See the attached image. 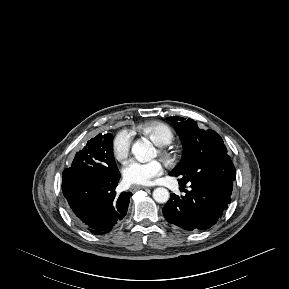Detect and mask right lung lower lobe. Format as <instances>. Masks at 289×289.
<instances>
[{
  "label": "right lung lower lobe",
  "instance_id": "obj_1",
  "mask_svg": "<svg viewBox=\"0 0 289 289\" xmlns=\"http://www.w3.org/2000/svg\"><path fill=\"white\" fill-rule=\"evenodd\" d=\"M118 168L104 176L63 172L62 192L74 220L93 234H106L126 215L132 193L116 194Z\"/></svg>",
  "mask_w": 289,
  "mask_h": 289
}]
</instances>
